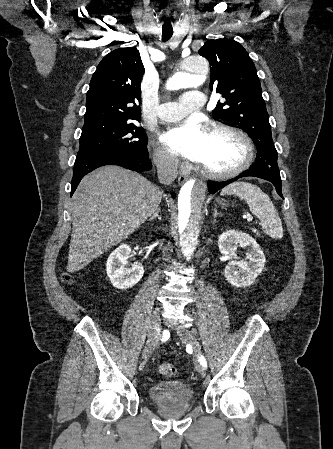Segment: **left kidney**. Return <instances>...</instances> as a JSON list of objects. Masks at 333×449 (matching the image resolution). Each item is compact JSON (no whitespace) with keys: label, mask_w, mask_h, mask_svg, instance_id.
<instances>
[{"label":"left kidney","mask_w":333,"mask_h":449,"mask_svg":"<svg viewBox=\"0 0 333 449\" xmlns=\"http://www.w3.org/2000/svg\"><path fill=\"white\" fill-rule=\"evenodd\" d=\"M218 246L220 252L227 257L235 255L237 246L248 250L247 260H232L225 268L224 276L232 286H249L262 272L266 262L264 253L249 234L238 230L226 231L219 236Z\"/></svg>","instance_id":"1"}]
</instances>
